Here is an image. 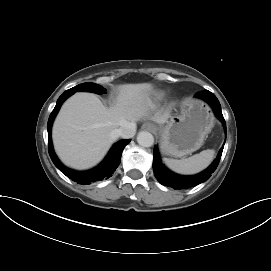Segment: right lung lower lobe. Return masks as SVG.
<instances>
[{"label":"right lung lower lobe","mask_w":271,"mask_h":271,"mask_svg":"<svg viewBox=\"0 0 271 271\" xmlns=\"http://www.w3.org/2000/svg\"><path fill=\"white\" fill-rule=\"evenodd\" d=\"M73 93L70 91H65L57 100L56 106L54 110L52 111L48 124H47V130H48V151L49 155L55 164V166L67 177L72 179L73 181L77 182L78 184L82 185H88L91 182H95L97 180H102L103 178L108 179L111 177V174L113 171L118 167L120 164V158L122 151L124 147L130 142L129 140H120L117 143L113 145L110 152L104 159V161L98 165L96 168L85 171V172H79L71 170L67 167H65L57 158V156L54 153L53 145H52V139H51V128L53 120L58 113L62 103Z\"/></svg>","instance_id":"right-lung-lower-lobe-1"}]
</instances>
